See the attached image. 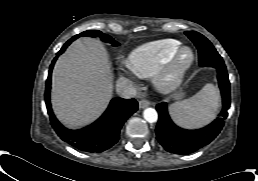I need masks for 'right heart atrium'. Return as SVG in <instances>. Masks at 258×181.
I'll return each mask as SVG.
<instances>
[{
  "label": "right heart atrium",
  "mask_w": 258,
  "mask_h": 181,
  "mask_svg": "<svg viewBox=\"0 0 258 181\" xmlns=\"http://www.w3.org/2000/svg\"><path fill=\"white\" fill-rule=\"evenodd\" d=\"M128 79L130 83H134V79L130 75H128Z\"/></svg>",
  "instance_id": "d8ad5b80"
}]
</instances>
